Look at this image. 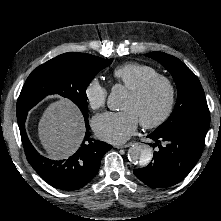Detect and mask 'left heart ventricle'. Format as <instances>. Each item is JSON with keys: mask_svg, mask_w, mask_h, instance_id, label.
Returning <instances> with one entry per match:
<instances>
[{"mask_svg": "<svg viewBox=\"0 0 221 221\" xmlns=\"http://www.w3.org/2000/svg\"><path fill=\"white\" fill-rule=\"evenodd\" d=\"M167 100V90L162 83H156L142 97L136 98L130 93L122 103L121 109L132 111L139 121H151L163 111Z\"/></svg>", "mask_w": 221, "mask_h": 221, "instance_id": "1", "label": "left heart ventricle"}]
</instances>
